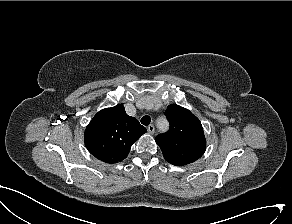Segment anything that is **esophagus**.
Listing matches in <instances>:
<instances>
[{
	"label": "esophagus",
	"mask_w": 292,
	"mask_h": 224,
	"mask_svg": "<svg viewBox=\"0 0 292 224\" xmlns=\"http://www.w3.org/2000/svg\"><path fill=\"white\" fill-rule=\"evenodd\" d=\"M147 131H148V133L149 134H154V132H155V127H154V125H149L148 127H147Z\"/></svg>",
	"instance_id": "34e87169"
}]
</instances>
